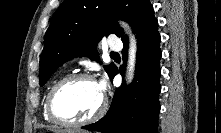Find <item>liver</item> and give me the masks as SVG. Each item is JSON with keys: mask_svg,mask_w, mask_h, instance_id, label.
Here are the masks:
<instances>
[{"mask_svg": "<svg viewBox=\"0 0 221 133\" xmlns=\"http://www.w3.org/2000/svg\"><path fill=\"white\" fill-rule=\"evenodd\" d=\"M55 132H57V133H73L74 131H72V130H58Z\"/></svg>", "mask_w": 221, "mask_h": 133, "instance_id": "6515ba94", "label": "liver"}]
</instances>
